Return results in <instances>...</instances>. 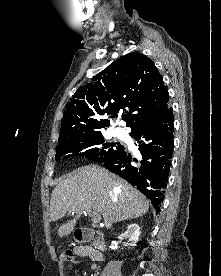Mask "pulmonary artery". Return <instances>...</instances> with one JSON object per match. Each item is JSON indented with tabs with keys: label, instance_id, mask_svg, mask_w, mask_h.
I'll list each match as a JSON object with an SVG mask.
<instances>
[{
	"label": "pulmonary artery",
	"instance_id": "e3ab8cb5",
	"mask_svg": "<svg viewBox=\"0 0 221 276\" xmlns=\"http://www.w3.org/2000/svg\"><path fill=\"white\" fill-rule=\"evenodd\" d=\"M114 133H115V135L118 136V137H121V136L123 135V132H122L121 129H116V130L114 131Z\"/></svg>",
	"mask_w": 221,
	"mask_h": 276
}]
</instances>
